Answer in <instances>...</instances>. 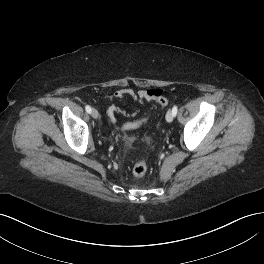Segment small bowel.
Returning <instances> with one entry per match:
<instances>
[{"mask_svg": "<svg viewBox=\"0 0 264 264\" xmlns=\"http://www.w3.org/2000/svg\"><path fill=\"white\" fill-rule=\"evenodd\" d=\"M163 93L164 91L158 88L142 89L138 91H135L131 88H122L115 91L111 96H109V98L110 99L115 98L120 100L128 96L137 102L144 103L149 101H155L157 98L161 97ZM116 113H122L127 116H134L136 114V112L127 113L118 106L111 105L108 109V115L111 121L115 120Z\"/></svg>", "mask_w": 264, "mask_h": 264, "instance_id": "c3829d8e", "label": "small bowel"}]
</instances>
